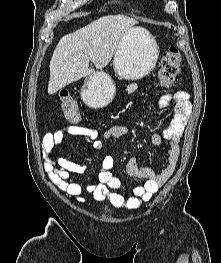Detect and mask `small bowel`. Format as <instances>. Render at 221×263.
I'll return each instance as SVG.
<instances>
[{
    "mask_svg": "<svg viewBox=\"0 0 221 263\" xmlns=\"http://www.w3.org/2000/svg\"><path fill=\"white\" fill-rule=\"evenodd\" d=\"M137 84L128 86V93H134ZM172 105L173 117L162 133H155L151 140L154 145H160L167 141L168 160L160 172H155L148 167H140L135 157L130 158L126 164L128 175L136 180H145L144 185L136 186L131 190V195L126 197L125 185L118 179L111 169L114 159L106 155L102 160V169L95 183L81 185L76 181V175H82L87 167L77 164L64 157L57 147L63 141L64 135L85 140L94 150L103 148V140L120 138L129 133L130 128L125 125H115L107 129L101 136L97 130L79 125H69L55 129L47 133L42 139V158L45 160L44 168L50 180L62 191L74 197L79 203H84V194H91L95 200H107L115 208L138 209L142 203L149 202L159 188L166 183L175 171L180 158V141L184 134L185 125L191 113L189 94L178 91L174 94H166L160 101V107L166 108ZM54 154V160H50V154Z\"/></svg>",
    "mask_w": 221,
    "mask_h": 263,
    "instance_id": "1",
    "label": "small bowel"
}]
</instances>
